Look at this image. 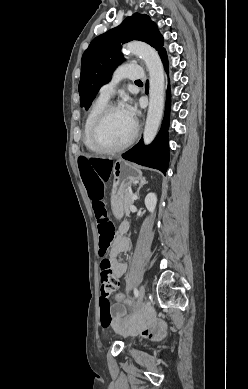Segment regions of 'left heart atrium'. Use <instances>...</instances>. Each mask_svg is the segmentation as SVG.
I'll list each match as a JSON object with an SVG mask.
<instances>
[{
    "label": "left heart atrium",
    "instance_id": "obj_1",
    "mask_svg": "<svg viewBox=\"0 0 248 389\" xmlns=\"http://www.w3.org/2000/svg\"><path fill=\"white\" fill-rule=\"evenodd\" d=\"M124 112L126 113V115L133 121L135 122V110L133 108V106L129 103V102H126L124 105H123V108Z\"/></svg>",
    "mask_w": 248,
    "mask_h": 389
}]
</instances>
